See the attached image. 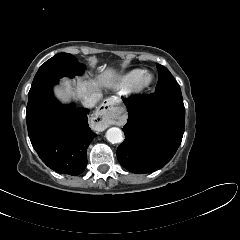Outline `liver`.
I'll list each match as a JSON object with an SVG mask.
<instances>
[{
	"mask_svg": "<svg viewBox=\"0 0 240 240\" xmlns=\"http://www.w3.org/2000/svg\"><path fill=\"white\" fill-rule=\"evenodd\" d=\"M101 74L96 80H78L76 88H72L71 82L64 78L61 87L55 89V96L63 102H69L71 98L84 100L92 93L101 89L117 78V73L112 68H101Z\"/></svg>",
	"mask_w": 240,
	"mask_h": 240,
	"instance_id": "1",
	"label": "liver"
}]
</instances>
